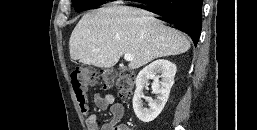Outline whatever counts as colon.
<instances>
[{
    "mask_svg": "<svg viewBox=\"0 0 257 130\" xmlns=\"http://www.w3.org/2000/svg\"><path fill=\"white\" fill-rule=\"evenodd\" d=\"M104 89L116 88L121 97L129 98L134 90L135 75L131 70L116 71L105 69L100 74L87 66H78L71 72V83L78 100L83 101L89 86H95L98 80Z\"/></svg>",
    "mask_w": 257,
    "mask_h": 130,
    "instance_id": "colon-1",
    "label": "colon"
}]
</instances>
